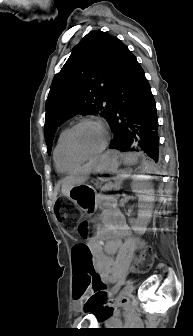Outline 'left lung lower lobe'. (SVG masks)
Segmentation results:
<instances>
[{"label":"left lung lower lobe","instance_id":"0a47b994","mask_svg":"<svg viewBox=\"0 0 193 336\" xmlns=\"http://www.w3.org/2000/svg\"><path fill=\"white\" fill-rule=\"evenodd\" d=\"M109 124L114 134L109 148L129 150L136 135L141 149L154 161L159 158L156 104L136 57L127 48L111 94Z\"/></svg>","mask_w":193,"mask_h":336}]
</instances>
